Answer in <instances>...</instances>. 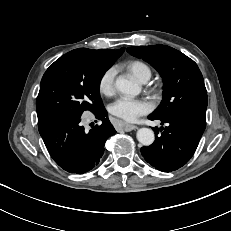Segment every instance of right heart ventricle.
<instances>
[{
  "label": "right heart ventricle",
  "mask_w": 231,
  "mask_h": 231,
  "mask_svg": "<svg viewBox=\"0 0 231 231\" xmlns=\"http://www.w3.org/2000/svg\"><path fill=\"white\" fill-rule=\"evenodd\" d=\"M124 67L126 70L138 81H142L144 78H150L151 69L150 67L143 61L140 60H132L125 63Z\"/></svg>",
  "instance_id": "right-heart-ventricle-1"
}]
</instances>
